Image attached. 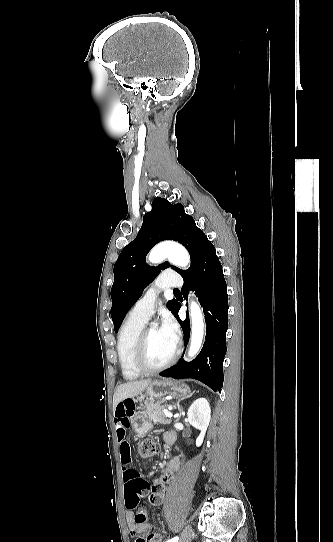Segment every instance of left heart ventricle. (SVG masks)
Here are the masks:
<instances>
[{
  "mask_svg": "<svg viewBox=\"0 0 333 542\" xmlns=\"http://www.w3.org/2000/svg\"><path fill=\"white\" fill-rule=\"evenodd\" d=\"M174 344L157 326H151L147 340V362L159 365L168 360L175 350Z\"/></svg>",
  "mask_w": 333,
  "mask_h": 542,
  "instance_id": "1",
  "label": "left heart ventricle"
}]
</instances>
